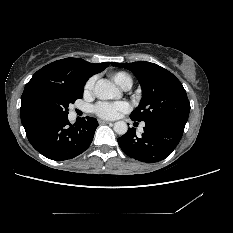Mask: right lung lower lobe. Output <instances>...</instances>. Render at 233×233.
I'll return each instance as SVG.
<instances>
[{
	"mask_svg": "<svg viewBox=\"0 0 233 233\" xmlns=\"http://www.w3.org/2000/svg\"><path fill=\"white\" fill-rule=\"evenodd\" d=\"M97 120L83 118L80 123L70 124L66 118L45 121L27 131L31 145L43 156L56 161L72 159L83 153L91 144Z\"/></svg>",
	"mask_w": 233,
	"mask_h": 233,
	"instance_id": "right-lung-lower-lobe-1",
	"label": "right lung lower lobe"
}]
</instances>
